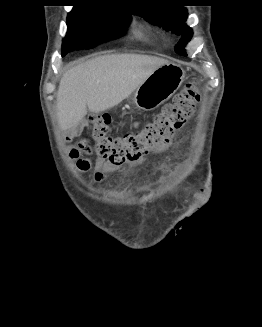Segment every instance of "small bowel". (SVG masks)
I'll return each instance as SVG.
<instances>
[{"label": "small bowel", "instance_id": "1", "mask_svg": "<svg viewBox=\"0 0 262 327\" xmlns=\"http://www.w3.org/2000/svg\"><path fill=\"white\" fill-rule=\"evenodd\" d=\"M141 125V121L134 122L132 124V127H139ZM82 131V125L76 124L66 135L67 140H71L73 136L78 135ZM172 144L171 140H167L161 144H158L154 146L151 151L150 155H159L161 153H164L166 150L170 148ZM82 150L80 147H71L68 150V157L71 160H74L76 162V167L81 172H86L91 168V161L88 158H82L81 157ZM146 158H142L140 160L130 162L128 164V167H136L145 162ZM95 173L92 176V179L95 182H103L106 179V176L108 173H114V172H120L124 170L121 166H115L107 162L106 160H103L101 158H97L95 161ZM198 195H205L206 189L205 188H198L197 189Z\"/></svg>", "mask_w": 262, "mask_h": 327}]
</instances>
